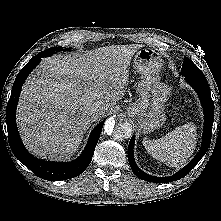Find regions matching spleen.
<instances>
[{
	"mask_svg": "<svg viewBox=\"0 0 221 221\" xmlns=\"http://www.w3.org/2000/svg\"><path fill=\"white\" fill-rule=\"evenodd\" d=\"M195 144L196 127L192 123L176 127L160 139L143 140L144 147L153 158L175 168L187 163Z\"/></svg>",
	"mask_w": 221,
	"mask_h": 221,
	"instance_id": "obj_1",
	"label": "spleen"
}]
</instances>
